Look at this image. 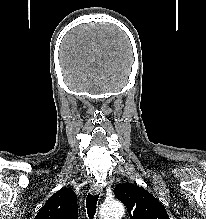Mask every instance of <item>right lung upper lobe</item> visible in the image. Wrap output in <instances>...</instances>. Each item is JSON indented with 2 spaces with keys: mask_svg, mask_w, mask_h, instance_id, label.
<instances>
[{
  "mask_svg": "<svg viewBox=\"0 0 206 219\" xmlns=\"http://www.w3.org/2000/svg\"><path fill=\"white\" fill-rule=\"evenodd\" d=\"M35 219H78L75 192L70 188L57 191L46 201Z\"/></svg>",
  "mask_w": 206,
  "mask_h": 219,
  "instance_id": "cb5924a9",
  "label": "right lung upper lobe"
}]
</instances>
